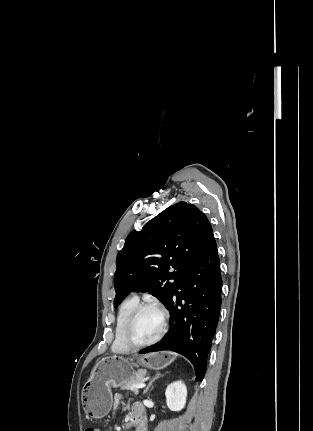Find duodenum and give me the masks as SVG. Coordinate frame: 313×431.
<instances>
[{"label":"duodenum","instance_id":"1","mask_svg":"<svg viewBox=\"0 0 313 431\" xmlns=\"http://www.w3.org/2000/svg\"><path fill=\"white\" fill-rule=\"evenodd\" d=\"M131 426H135L140 423V417L138 415H132L129 421Z\"/></svg>","mask_w":313,"mask_h":431}]
</instances>
